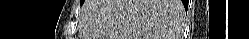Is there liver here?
I'll list each match as a JSON object with an SVG mask.
<instances>
[{"label":"liver","instance_id":"obj_1","mask_svg":"<svg viewBox=\"0 0 249 39\" xmlns=\"http://www.w3.org/2000/svg\"><path fill=\"white\" fill-rule=\"evenodd\" d=\"M175 0H87L80 39H172Z\"/></svg>","mask_w":249,"mask_h":39}]
</instances>
